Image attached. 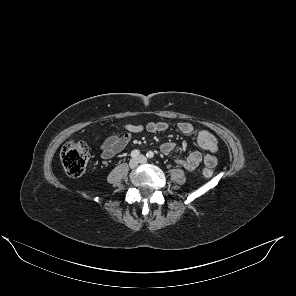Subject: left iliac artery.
<instances>
[{"label":"left iliac artery","instance_id":"44dca946","mask_svg":"<svg viewBox=\"0 0 296 296\" xmlns=\"http://www.w3.org/2000/svg\"><path fill=\"white\" fill-rule=\"evenodd\" d=\"M146 156L149 158V159H152L154 157V153L152 151H149Z\"/></svg>","mask_w":296,"mask_h":296}]
</instances>
